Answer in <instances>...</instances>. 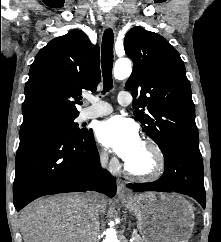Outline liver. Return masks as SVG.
<instances>
[{
    "label": "liver",
    "instance_id": "6515ba94",
    "mask_svg": "<svg viewBox=\"0 0 221 242\" xmlns=\"http://www.w3.org/2000/svg\"><path fill=\"white\" fill-rule=\"evenodd\" d=\"M84 195L72 194L37 200L20 215L24 242H85ZM107 200L99 197V212L105 213Z\"/></svg>",
    "mask_w": 221,
    "mask_h": 242
}]
</instances>
